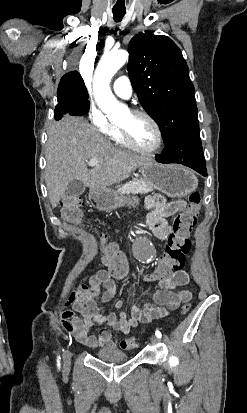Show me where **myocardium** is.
Masks as SVG:
<instances>
[{
  "label": "myocardium",
  "instance_id": "1",
  "mask_svg": "<svg viewBox=\"0 0 247 413\" xmlns=\"http://www.w3.org/2000/svg\"><path fill=\"white\" fill-rule=\"evenodd\" d=\"M132 114L135 118H145L151 124V126L157 130L158 142L155 146L151 148L144 147L135 140V138L132 136L129 130L119 127L120 134L125 143L132 149L143 154L149 155L159 152L165 144V134L159 123L145 110H136L133 111Z\"/></svg>",
  "mask_w": 247,
  "mask_h": 413
}]
</instances>
